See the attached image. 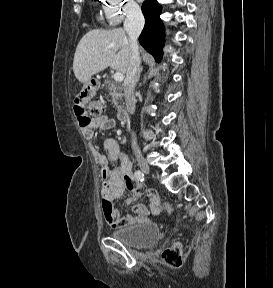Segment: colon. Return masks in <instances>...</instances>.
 <instances>
[{"label":"colon","instance_id":"colon-1","mask_svg":"<svg viewBox=\"0 0 273 288\" xmlns=\"http://www.w3.org/2000/svg\"><path fill=\"white\" fill-rule=\"evenodd\" d=\"M101 111L102 105L98 100L90 103L87 108L81 100H76L74 102V112L81 127L89 125L91 121L90 114L98 115ZM165 208L170 211V206L168 204H165ZM162 258L167 264L173 267H180L183 261L181 246L179 244H174L166 248L162 252Z\"/></svg>","mask_w":273,"mask_h":288}]
</instances>
